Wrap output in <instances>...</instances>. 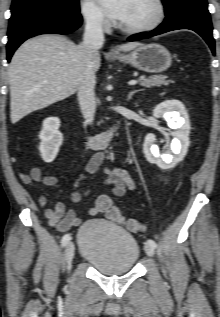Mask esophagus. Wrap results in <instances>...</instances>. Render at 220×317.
Returning <instances> with one entry per match:
<instances>
[{
  "instance_id": "obj_1",
  "label": "esophagus",
  "mask_w": 220,
  "mask_h": 317,
  "mask_svg": "<svg viewBox=\"0 0 220 317\" xmlns=\"http://www.w3.org/2000/svg\"><path fill=\"white\" fill-rule=\"evenodd\" d=\"M116 53H117V51H116L115 49L111 48L110 54H111V55H114V54H116Z\"/></svg>"
}]
</instances>
